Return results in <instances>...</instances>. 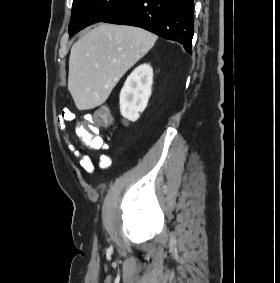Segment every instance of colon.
Segmentation results:
<instances>
[{
    "mask_svg": "<svg viewBox=\"0 0 280 283\" xmlns=\"http://www.w3.org/2000/svg\"><path fill=\"white\" fill-rule=\"evenodd\" d=\"M65 111L71 112L69 109ZM82 119H94L99 127L113 126L112 110H108L107 107H98L97 110H87V114H82ZM99 127H88L85 123H79L77 125V134L87 146L100 149L103 147L104 140L102 137L93 133L99 132Z\"/></svg>",
    "mask_w": 280,
    "mask_h": 283,
    "instance_id": "colon-1",
    "label": "colon"
}]
</instances>
